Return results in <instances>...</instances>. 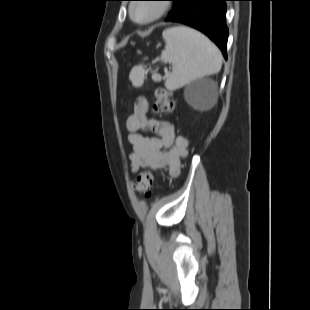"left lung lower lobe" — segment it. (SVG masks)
I'll return each mask as SVG.
<instances>
[{
  "label": "left lung lower lobe",
  "mask_w": 310,
  "mask_h": 310,
  "mask_svg": "<svg viewBox=\"0 0 310 310\" xmlns=\"http://www.w3.org/2000/svg\"><path fill=\"white\" fill-rule=\"evenodd\" d=\"M226 1L230 0H186L182 10L172 20L203 32L220 48L225 59L228 39Z\"/></svg>",
  "instance_id": "1"
}]
</instances>
